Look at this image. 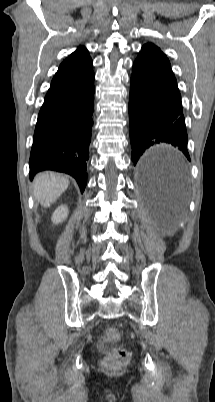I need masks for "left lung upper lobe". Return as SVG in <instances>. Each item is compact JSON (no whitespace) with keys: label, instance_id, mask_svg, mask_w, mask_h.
Instances as JSON below:
<instances>
[{"label":"left lung upper lobe","instance_id":"1","mask_svg":"<svg viewBox=\"0 0 215 402\" xmlns=\"http://www.w3.org/2000/svg\"><path fill=\"white\" fill-rule=\"evenodd\" d=\"M138 57L171 68L166 55L153 43L144 44Z\"/></svg>","mask_w":215,"mask_h":402}]
</instances>
